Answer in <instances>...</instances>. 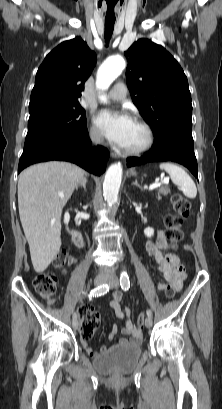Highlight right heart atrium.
<instances>
[{"label": "right heart atrium", "instance_id": "obj_1", "mask_svg": "<svg viewBox=\"0 0 222 409\" xmlns=\"http://www.w3.org/2000/svg\"><path fill=\"white\" fill-rule=\"evenodd\" d=\"M89 137H90V140L96 145H102L104 143L102 134L94 126H91L89 129Z\"/></svg>", "mask_w": 222, "mask_h": 409}]
</instances>
